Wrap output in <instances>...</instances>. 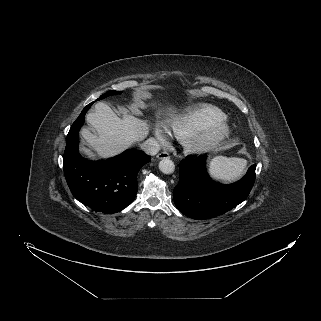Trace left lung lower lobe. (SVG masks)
Listing matches in <instances>:
<instances>
[{"label":"left lung lower lobe","mask_w":321,"mask_h":321,"mask_svg":"<svg viewBox=\"0 0 321 321\" xmlns=\"http://www.w3.org/2000/svg\"><path fill=\"white\" fill-rule=\"evenodd\" d=\"M206 156L186 158L180 164V180L174 188L176 207L193 219H209L236 207L249 195L256 164L249 167L239 181L223 185L213 181L206 171Z\"/></svg>","instance_id":"obj_1"}]
</instances>
